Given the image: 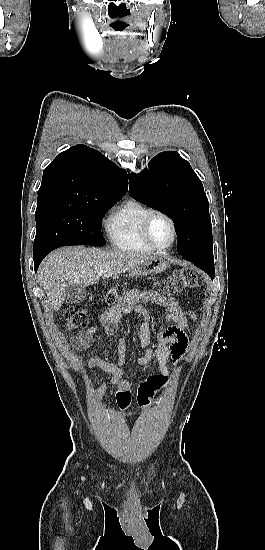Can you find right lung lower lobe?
<instances>
[{"label": "right lung lower lobe", "instance_id": "obj_1", "mask_svg": "<svg viewBox=\"0 0 265 550\" xmlns=\"http://www.w3.org/2000/svg\"><path fill=\"white\" fill-rule=\"evenodd\" d=\"M46 255H47L46 253H44V254H33L35 272L37 271L41 261L44 259V257Z\"/></svg>", "mask_w": 265, "mask_h": 550}]
</instances>
